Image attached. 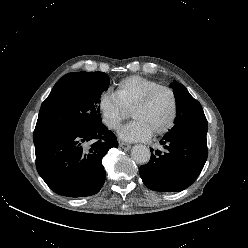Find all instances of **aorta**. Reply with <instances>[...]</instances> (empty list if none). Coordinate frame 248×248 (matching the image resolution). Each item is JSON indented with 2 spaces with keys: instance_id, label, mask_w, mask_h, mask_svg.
<instances>
[{
  "instance_id": "obj_1",
  "label": "aorta",
  "mask_w": 248,
  "mask_h": 248,
  "mask_svg": "<svg viewBox=\"0 0 248 248\" xmlns=\"http://www.w3.org/2000/svg\"><path fill=\"white\" fill-rule=\"evenodd\" d=\"M131 155L133 160L138 164H146L150 160V150L145 145H135L132 148Z\"/></svg>"
}]
</instances>
